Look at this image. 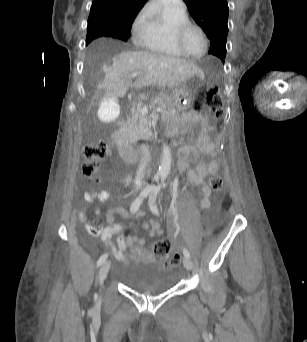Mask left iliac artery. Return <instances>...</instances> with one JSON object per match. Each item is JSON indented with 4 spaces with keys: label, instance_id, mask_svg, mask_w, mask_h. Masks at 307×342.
Returning a JSON list of instances; mask_svg holds the SVG:
<instances>
[{
    "label": "left iliac artery",
    "instance_id": "left-iliac-artery-1",
    "mask_svg": "<svg viewBox=\"0 0 307 342\" xmlns=\"http://www.w3.org/2000/svg\"><path fill=\"white\" fill-rule=\"evenodd\" d=\"M159 190H160L159 187L154 186V187H152L151 193L149 195V207L155 215H159V211H158L156 203H155ZM173 196L176 197L177 194H173ZM174 216H175V218H178L175 211H174ZM183 254L185 257L190 258V252L186 248L183 249Z\"/></svg>",
    "mask_w": 307,
    "mask_h": 342
}]
</instances>
